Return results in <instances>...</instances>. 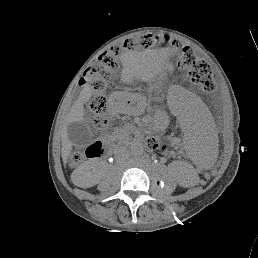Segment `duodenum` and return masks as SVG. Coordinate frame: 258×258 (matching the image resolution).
<instances>
[{"label":"duodenum","instance_id":"1","mask_svg":"<svg viewBox=\"0 0 258 258\" xmlns=\"http://www.w3.org/2000/svg\"><path fill=\"white\" fill-rule=\"evenodd\" d=\"M100 152H101V147L100 146L90 147L87 150L86 155L90 158H97V157L100 156Z\"/></svg>","mask_w":258,"mask_h":258}]
</instances>
